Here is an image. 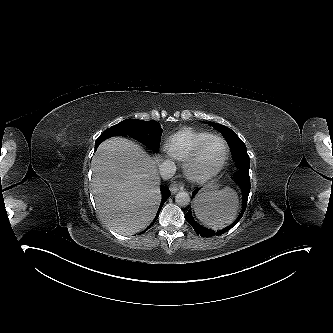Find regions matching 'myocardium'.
Listing matches in <instances>:
<instances>
[{
  "label": "myocardium",
  "mask_w": 333,
  "mask_h": 333,
  "mask_svg": "<svg viewBox=\"0 0 333 333\" xmlns=\"http://www.w3.org/2000/svg\"><path fill=\"white\" fill-rule=\"evenodd\" d=\"M213 139H218L224 144V155L222 157L221 162L214 169L208 172H200L195 168L196 163L198 162L201 153L206 147V145ZM228 155H229V146L227 141L219 135H210L207 138H205L200 144H198L195 150L192 152V154L185 160L184 164L185 173L187 177L192 181L206 182L214 178L221 172V170L224 168L227 162Z\"/></svg>",
  "instance_id": "1"
}]
</instances>
